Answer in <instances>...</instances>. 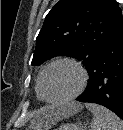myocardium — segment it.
I'll return each instance as SVG.
<instances>
[{
    "label": "myocardium",
    "mask_w": 123,
    "mask_h": 130,
    "mask_svg": "<svg viewBox=\"0 0 123 130\" xmlns=\"http://www.w3.org/2000/svg\"><path fill=\"white\" fill-rule=\"evenodd\" d=\"M60 63H67V64L74 66L80 73V83H79L77 89L71 95L61 98V99H49L44 94V89H43L44 76H45L46 71L50 67H52L56 64H60ZM87 82H88L87 70L79 61H77L76 59H74L72 57H59V58H56V59L50 61L41 70V72L39 74V82H38L39 96L43 101H45L47 103H51V104L66 103V102L72 101L75 98H77L84 91V89L87 85Z\"/></svg>",
    "instance_id": "f54148a6"
}]
</instances>
